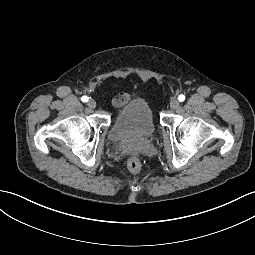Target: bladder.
<instances>
[{
  "mask_svg": "<svg viewBox=\"0 0 255 255\" xmlns=\"http://www.w3.org/2000/svg\"><path fill=\"white\" fill-rule=\"evenodd\" d=\"M156 124L149 104L141 97H133L116 113L109 131L114 142L150 138L155 134Z\"/></svg>",
  "mask_w": 255,
  "mask_h": 255,
  "instance_id": "31cf9c89",
  "label": "bladder"
}]
</instances>
